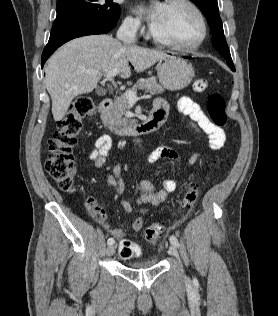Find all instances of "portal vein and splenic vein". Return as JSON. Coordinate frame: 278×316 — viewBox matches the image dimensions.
Returning <instances> with one entry per match:
<instances>
[{"mask_svg": "<svg viewBox=\"0 0 278 316\" xmlns=\"http://www.w3.org/2000/svg\"><path fill=\"white\" fill-rule=\"evenodd\" d=\"M87 73L91 74V73H95L94 71H88ZM119 73V70L118 69H112V70H109L106 74H105V77L107 79H109L110 81H112V84L114 85V87L116 88L117 85L116 83L114 82L113 78ZM124 96L128 99L129 102H136L138 100V97H137V92H134V91H126L124 93Z\"/></svg>", "mask_w": 278, "mask_h": 316, "instance_id": "18ae733b", "label": "portal vein and splenic vein"}]
</instances>
